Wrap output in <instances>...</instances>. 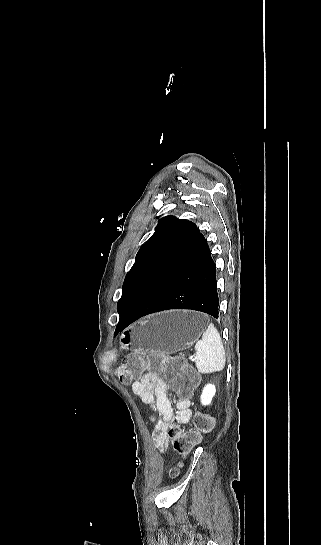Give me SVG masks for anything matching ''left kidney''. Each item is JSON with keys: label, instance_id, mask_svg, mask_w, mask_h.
I'll list each match as a JSON object with an SVG mask.
<instances>
[{"label": "left kidney", "instance_id": "left-kidney-1", "mask_svg": "<svg viewBox=\"0 0 321 545\" xmlns=\"http://www.w3.org/2000/svg\"><path fill=\"white\" fill-rule=\"evenodd\" d=\"M216 393L215 385H205L200 401L202 405H210L214 395Z\"/></svg>", "mask_w": 321, "mask_h": 545}]
</instances>
